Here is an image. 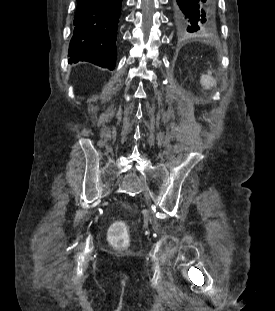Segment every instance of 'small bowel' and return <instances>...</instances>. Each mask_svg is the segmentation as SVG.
Returning a JSON list of instances; mask_svg holds the SVG:
<instances>
[{"instance_id": "obj_1", "label": "small bowel", "mask_w": 275, "mask_h": 311, "mask_svg": "<svg viewBox=\"0 0 275 311\" xmlns=\"http://www.w3.org/2000/svg\"><path fill=\"white\" fill-rule=\"evenodd\" d=\"M204 79L205 80H198L197 86L203 87L202 91L204 93L205 98H212L213 93L215 92V80H212L213 74L212 73H205Z\"/></svg>"}]
</instances>
